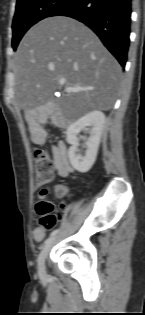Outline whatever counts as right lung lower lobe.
Masks as SVG:
<instances>
[{"instance_id":"right-lung-lower-lobe-1","label":"right lung lower lobe","mask_w":145,"mask_h":315,"mask_svg":"<svg viewBox=\"0 0 145 315\" xmlns=\"http://www.w3.org/2000/svg\"><path fill=\"white\" fill-rule=\"evenodd\" d=\"M51 16H68L89 26L122 67L127 61L131 0H70Z\"/></svg>"}]
</instances>
